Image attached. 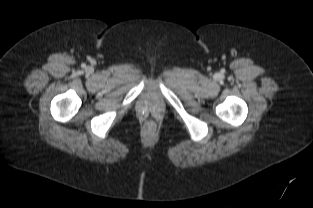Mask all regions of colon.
<instances>
[{
	"mask_svg": "<svg viewBox=\"0 0 313 208\" xmlns=\"http://www.w3.org/2000/svg\"><path fill=\"white\" fill-rule=\"evenodd\" d=\"M155 128H156V125H155V123L152 122V121H150V122H148V123L146 124V129H147L148 131H154Z\"/></svg>",
	"mask_w": 313,
	"mask_h": 208,
	"instance_id": "colon-1",
	"label": "colon"
}]
</instances>
